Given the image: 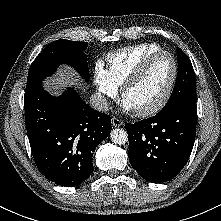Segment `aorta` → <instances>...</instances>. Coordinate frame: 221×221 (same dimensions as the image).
<instances>
[{"mask_svg": "<svg viewBox=\"0 0 221 221\" xmlns=\"http://www.w3.org/2000/svg\"><path fill=\"white\" fill-rule=\"evenodd\" d=\"M111 141L118 145H123L128 141V134L122 128L113 129L110 134Z\"/></svg>", "mask_w": 221, "mask_h": 221, "instance_id": "obj_1", "label": "aorta"}]
</instances>
